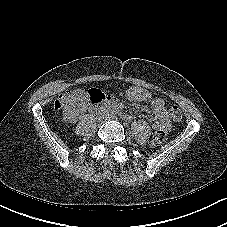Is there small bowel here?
<instances>
[{"mask_svg": "<svg viewBox=\"0 0 227 227\" xmlns=\"http://www.w3.org/2000/svg\"><path fill=\"white\" fill-rule=\"evenodd\" d=\"M126 96L131 101L148 102L151 105L153 116L150 122L154 129L163 131H168L170 129L171 124L164 99L155 96L148 90L140 87L130 88L126 93Z\"/></svg>", "mask_w": 227, "mask_h": 227, "instance_id": "c3829d8e", "label": "small bowel"}]
</instances>
